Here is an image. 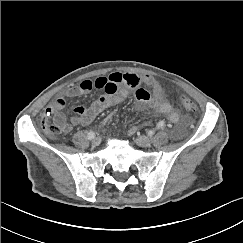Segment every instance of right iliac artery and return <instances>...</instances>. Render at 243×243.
Returning <instances> with one entry per match:
<instances>
[{
  "mask_svg": "<svg viewBox=\"0 0 243 243\" xmlns=\"http://www.w3.org/2000/svg\"><path fill=\"white\" fill-rule=\"evenodd\" d=\"M88 139H93L95 137V133L93 131L88 132L87 134Z\"/></svg>",
  "mask_w": 243,
  "mask_h": 243,
  "instance_id": "1",
  "label": "right iliac artery"
}]
</instances>
